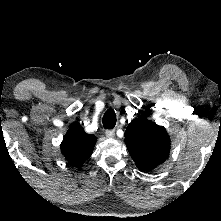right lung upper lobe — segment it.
Returning <instances> with one entry per match:
<instances>
[{
  "label": "right lung upper lobe",
  "instance_id": "right-lung-upper-lobe-1",
  "mask_svg": "<svg viewBox=\"0 0 221 221\" xmlns=\"http://www.w3.org/2000/svg\"><path fill=\"white\" fill-rule=\"evenodd\" d=\"M95 143L94 135L85 133L80 125H72L61 143V151L71 165L79 167L91 156Z\"/></svg>",
  "mask_w": 221,
  "mask_h": 221
}]
</instances>
